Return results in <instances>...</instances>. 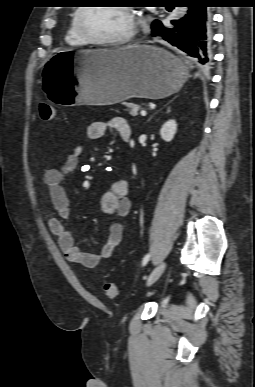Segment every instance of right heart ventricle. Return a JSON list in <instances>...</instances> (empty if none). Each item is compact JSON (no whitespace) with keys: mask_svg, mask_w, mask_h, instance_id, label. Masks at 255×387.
<instances>
[{"mask_svg":"<svg viewBox=\"0 0 255 387\" xmlns=\"http://www.w3.org/2000/svg\"><path fill=\"white\" fill-rule=\"evenodd\" d=\"M77 9L72 13L69 26L65 35L66 42L71 46H84L87 43L79 36L75 28V14Z\"/></svg>","mask_w":255,"mask_h":387,"instance_id":"obj_1","label":"right heart ventricle"}]
</instances>
